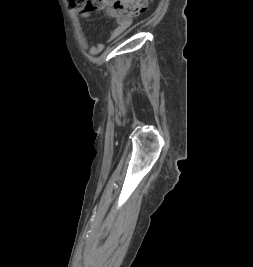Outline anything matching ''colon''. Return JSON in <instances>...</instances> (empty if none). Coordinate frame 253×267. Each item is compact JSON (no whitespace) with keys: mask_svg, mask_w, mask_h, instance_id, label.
I'll return each mask as SVG.
<instances>
[{"mask_svg":"<svg viewBox=\"0 0 253 267\" xmlns=\"http://www.w3.org/2000/svg\"><path fill=\"white\" fill-rule=\"evenodd\" d=\"M67 7L76 12H91L112 5L127 16H137L145 11L148 0H66Z\"/></svg>","mask_w":253,"mask_h":267,"instance_id":"colon-1","label":"colon"}]
</instances>
